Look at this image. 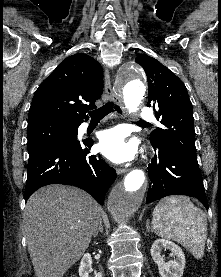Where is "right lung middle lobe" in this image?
I'll use <instances>...</instances> for the list:
<instances>
[{
  "instance_id": "obj_1",
  "label": "right lung middle lobe",
  "mask_w": 221,
  "mask_h": 277,
  "mask_svg": "<svg viewBox=\"0 0 221 277\" xmlns=\"http://www.w3.org/2000/svg\"><path fill=\"white\" fill-rule=\"evenodd\" d=\"M78 126L62 122H43L28 125L29 155L46 147L77 138Z\"/></svg>"
}]
</instances>
